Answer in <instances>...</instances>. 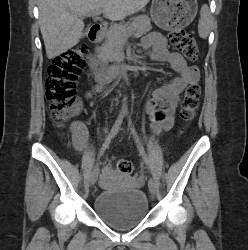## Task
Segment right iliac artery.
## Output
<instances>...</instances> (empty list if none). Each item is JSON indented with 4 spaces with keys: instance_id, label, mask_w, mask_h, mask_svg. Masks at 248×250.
<instances>
[{
    "instance_id": "obj_1",
    "label": "right iliac artery",
    "mask_w": 248,
    "mask_h": 250,
    "mask_svg": "<svg viewBox=\"0 0 248 250\" xmlns=\"http://www.w3.org/2000/svg\"><path fill=\"white\" fill-rule=\"evenodd\" d=\"M123 118L124 115L123 114H119L114 125L112 126V129L110 131V133L108 134L103 146H102V152H104V150H106V148H108L111 140L116 136V134L118 133L120 126L123 122ZM95 168H98V164H96Z\"/></svg>"
}]
</instances>
